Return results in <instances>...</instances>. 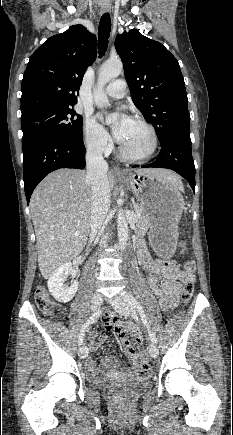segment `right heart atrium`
<instances>
[{
	"label": "right heart atrium",
	"instance_id": "right-heart-atrium-1",
	"mask_svg": "<svg viewBox=\"0 0 233 435\" xmlns=\"http://www.w3.org/2000/svg\"><path fill=\"white\" fill-rule=\"evenodd\" d=\"M83 141L87 150L98 156L107 154L112 148L110 135L90 117L84 122Z\"/></svg>",
	"mask_w": 233,
	"mask_h": 435
}]
</instances>
